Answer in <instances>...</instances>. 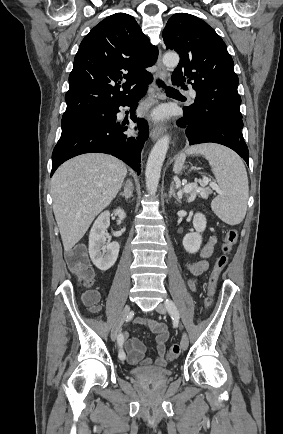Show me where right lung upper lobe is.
Wrapping results in <instances>:
<instances>
[{
	"label": "right lung upper lobe",
	"instance_id": "1",
	"mask_svg": "<svg viewBox=\"0 0 283 434\" xmlns=\"http://www.w3.org/2000/svg\"><path fill=\"white\" fill-rule=\"evenodd\" d=\"M157 57V47L142 33L134 17L116 13L105 18L79 46L62 120L94 117L124 102L152 78L145 68ZM133 84L137 85L130 90Z\"/></svg>",
	"mask_w": 283,
	"mask_h": 434
}]
</instances>
